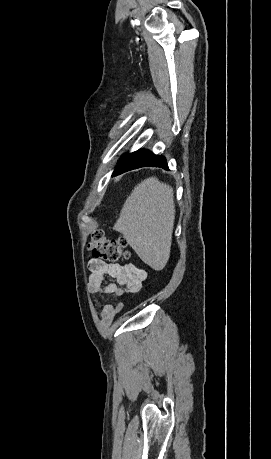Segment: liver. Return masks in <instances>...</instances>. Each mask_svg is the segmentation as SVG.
<instances>
[{"mask_svg": "<svg viewBox=\"0 0 271 459\" xmlns=\"http://www.w3.org/2000/svg\"><path fill=\"white\" fill-rule=\"evenodd\" d=\"M175 220L173 190L158 178L135 186L114 226L140 259L152 269H163L171 251Z\"/></svg>", "mask_w": 271, "mask_h": 459, "instance_id": "obj_1", "label": "liver"}]
</instances>
